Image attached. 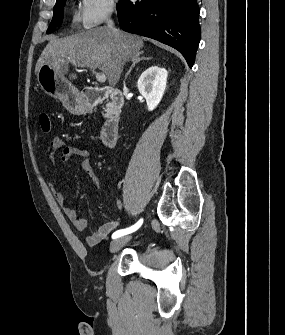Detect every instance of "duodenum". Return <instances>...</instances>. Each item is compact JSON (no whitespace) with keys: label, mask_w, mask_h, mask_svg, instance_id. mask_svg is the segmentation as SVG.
I'll return each mask as SVG.
<instances>
[{"label":"duodenum","mask_w":285,"mask_h":335,"mask_svg":"<svg viewBox=\"0 0 285 335\" xmlns=\"http://www.w3.org/2000/svg\"><path fill=\"white\" fill-rule=\"evenodd\" d=\"M102 102H107V114L101 128V140L105 146L112 148L119 137L123 95L119 89L111 86L89 87L83 91L81 105L84 110H90Z\"/></svg>","instance_id":"410a0bca"}]
</instances>
